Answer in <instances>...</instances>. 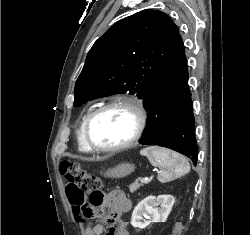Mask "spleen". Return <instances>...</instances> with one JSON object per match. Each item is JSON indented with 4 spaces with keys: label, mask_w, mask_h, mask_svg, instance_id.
Here are the masks:
<instances>
[{
    "label": "spleen",
    "mask_w": 250,
    "mask_h": 235,
    "mask_svg": "<svg viewBox=\"0 0 250 235\" xmlns=\"http://www.w3.org/2000/svg\"><path fill=\"white\" fill-rule=\"evenodd\" d=\"M140 154L146 156L153 166L160 169L158 180L162 183L172 181L190 171V164L186 158L169 149L151 146L142 149Z\"/></svg>",
    "instance_id": "spleen-1"
}]
</instances>
